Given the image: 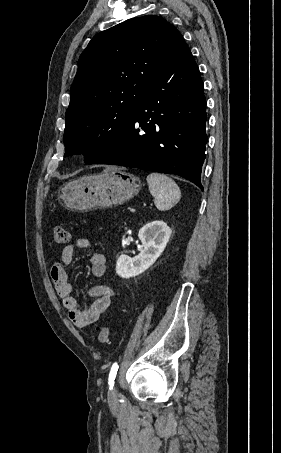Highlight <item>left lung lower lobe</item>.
<instances>
[{
  "instance_id": "1",
  "label": "left lung lower lobe",
  "mask_w": 281,
  "mask_h": 453,
  "mask_svg": "<svg viewBox=\"0 0 281 453\" xmlns=\"http://www.w3.org/2000/svg\"><path fill=\"white\" fill-rule=\"evenodd\" d=\"M205 124L203 82L179 33L128 126L94 164L175 174L203 190Z\"/></svg>"
}]
</instances>
